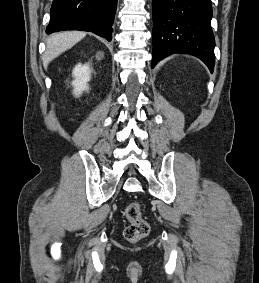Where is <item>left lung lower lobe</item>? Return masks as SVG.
<instances>
[{
    "instance_id": "1",
    "label": "left lung lower lobe",
    "mask_w": 259,
    "mask_h": 283,
    "mask_svg": "<svg viewBox=\"0 0 259 283\" xmlns=\"http://www.w3.org/2000/svg\"><path fill=\"white\" fill-rule=\"evenodd\" d=\"M211 0H153L152 67L173 53L199 57L213 71Z\"/></svg>"
}]
</instances>
